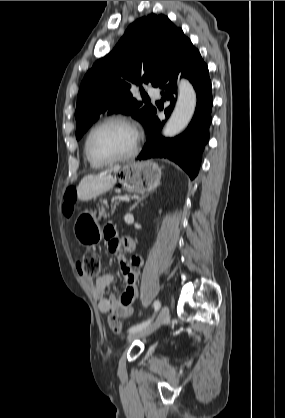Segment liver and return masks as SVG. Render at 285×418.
Instances as JSON below:
<instances>
[{
	"label": "liver",
	"instance_id": "6515ba94",
	"mask_svg": "<svg viewBox=\"0 0 285 418\" xmlns=\"http://www.w3.org/2000/svg\"><path fill=\"white\" fill-rule=\"evenodd\" d=\"M119 168L117 166L98 175L90 174L83 177L77 186L78 199L88 201L111 189L116 183V177L112 176L111 173L118 171Z\"/></svg>",
	"mask_w": 285,
	"mask_h": 418
}]
</instances>
